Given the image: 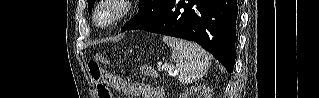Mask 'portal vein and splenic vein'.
I'll list each match as a JSON object with an SVG mask.
<instances>
[{
    "label": "portal vein and splenic vein",
    "instance_id": "18ae733b",
    "mask_svg": "<svg viewBox=\"0 0 319 98\" xmlns=\"http://www.w3.org/2000/svg\"><path fill=\"white\" fill-rule=\"evenodd\" d=\"M159 70H167L169 71L170 74H174V72H172L171 67L168 65H162L158 67Z\"/></svg>",
    "mask_w": 319,
    "mask_h": 98
}]
</instances>
